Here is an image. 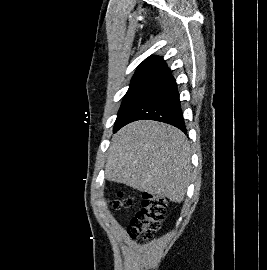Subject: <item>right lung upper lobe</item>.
Returning <instances> with one entry per match:
<instances>
[{"label":"right lung upper lobe","instance_id":"obj_1","mask_svg":"<svg viewBox=\"0 0 267 270\" xmlns=\"http://www.w3.org/2000/svg\"><path fill=\"white\" fill-rule=\"evenodd\" d=\"M165 68H167V64L162 57L150 56L138 66L132 79L143 76H156Z\"/></svg>","mask_w":267,"mask_h":270}]
</instances>
